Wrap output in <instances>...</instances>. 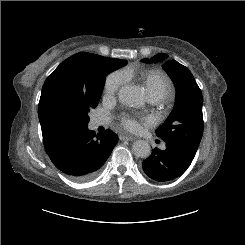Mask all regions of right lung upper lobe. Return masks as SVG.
Masks as SVG:
<instances>
[{
    "label": "right lung upper lobe",
    "instance_id": "obj_1",
    "mask_svg": "<svg viewBox=\"0 0 245 245\" xmlns=\"http://www.w3.org/2000/svg\"><path fill=\"white\" fill-rule=\"evenodd\" d=\"M93 56L94 54L91 53L80 52L69 57L52 72L43 85L38 106V116L46 152L63 138L73 133L55 127L45 116L44 101L46 92L53 85H63L70 93L77 97L92 98L95 90V81L88 69L87 62ZM115 60L120 64L126 62V60Z\"/></svg>",
    "mask_w": 245,
    "mask_h": 245
}]
</instances>
